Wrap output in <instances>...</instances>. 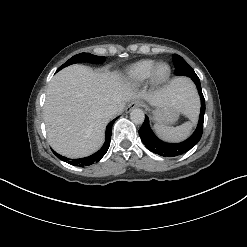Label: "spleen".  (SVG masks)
Segmentation results:
<instances>
[{"label":"spleen","mask_w":247,"mask_h":247,"mask_svg":"<svg viewBox=\"0 0 247 247\" xmlns=\"http://www.w3.org/2000/svg\"><path fill=\"white\" fill-rule=\"evenodd\" d=\"M193 128L192 122H186L177 127L155 124L154 129L159 137L169 142H179L186 139Z\"/></svg>","instance_id":"obj_1"}]
</instances>
